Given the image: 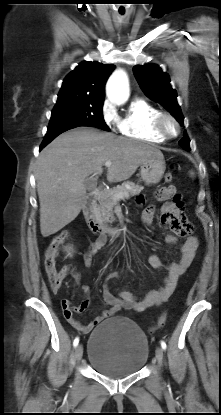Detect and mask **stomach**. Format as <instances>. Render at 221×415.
<instances>
[{
	"instance_id": "1",
	"label": "stomach",
	"mask_w": 221,
	"mask_h": 415,
	"mask_svg": "<svg viewBox=\"0 0 221 415\" xmlns=\"http://www.w3.org/2000/svg\"><path fill=\"white\" fill-rule=\"evenodd\" d=\"M166 166L163 157H152L141 164L140 174L146 185H154L161 181Z\"/></svg>"
}]
</instances>
